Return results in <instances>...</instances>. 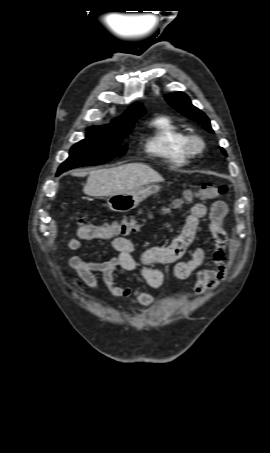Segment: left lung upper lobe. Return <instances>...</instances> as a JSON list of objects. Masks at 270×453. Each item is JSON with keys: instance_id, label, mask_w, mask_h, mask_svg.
<instances>
[{"instance_id": "left-lung-upper-lobe-1", "label": "left lung upper lobe", "mask_w": 270, "mask_h": 453, "mask_svg": "<svg viewBox=\"0 0 270 453\" xmlns=\"http://www.w3.org/2000/svg\"><path fill=\"white\" fill-rule=\"evenodd\" d=\"M165 98L181 114L202 124L207 131L213 132L208 117L191 104V101L186 94L177 92L175 94L167 95ZM222 151L225 154L223 149Z\"/></svg>"}]
</instances>
